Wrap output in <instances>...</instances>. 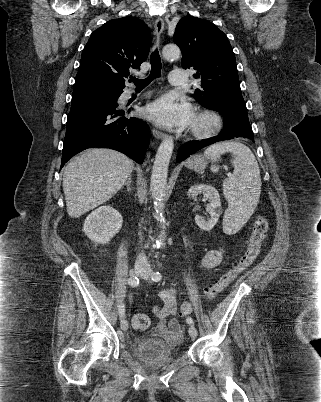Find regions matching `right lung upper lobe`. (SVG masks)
Wrapping results in <instances>:
<instances>
[{
  "instance_id": "cb5924a9",
  "label": "right lung upper lobe",
  "mask_w": 321,
  "mask_h": 402,
  "mask_svg": "<svg viewBox=\"0 0 321 402\" xmlns=\"http://www.w3.org/2000/svg\"><path fill=\"white\" fill-rule=\"evenodd\" d=\"M150 30L135 17L110 20L95 30L81 56L75 85L125 87L130 69H140L149 53Z\"/></svg>"
}]
</instances>
